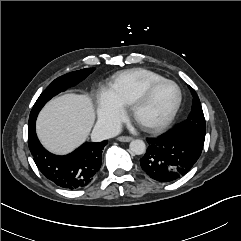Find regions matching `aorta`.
Segmentation results:
<instances>
[{
    "label": "aorta",
    "instance_id": "aorta-1",
    "mask_svg": "<svg viewBox=\"0 0 241 241\" xmlns=\"http://www.w3.org/2000/svg\"><path fill=\"white\" fill-rule=\"evenodd\" d=\"M129 149L133 154L141 155L145 153L146 145L143 140L135 139L131 141L129 145Z\"/></svg>",
    "mask_w": 241,
    "mask_h": 241
}]
</instances>
